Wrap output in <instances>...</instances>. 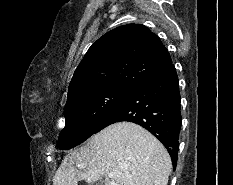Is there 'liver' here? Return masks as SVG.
Listing matches in <instances>:
<instances>
[{
    "instance_id": "liver-1",
    "label": "liver",
    "mask_w": 233,
    "mask_h": 185,
    "mask_svg": "<svg viewBox=\"0 0 233 185\" xmlns=\"http://www.w3.org/2000/svg\"><path fill=\"white\" fill-rule=\"evenodd\" d=\"M171 170V158L157 138L137 124L119 122L67 154L53 185H78L81 180L95 183L102 177L105 185H167Z\"/></svg>"
}]
</instances>
